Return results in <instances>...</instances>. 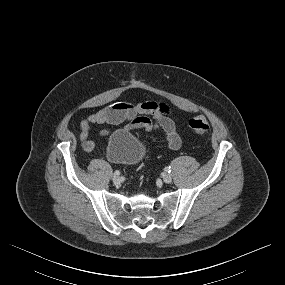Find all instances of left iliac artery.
Here are the masks:
<instances>
[{
    "mask_svg": "<svg viewBox=\"0 0 285 285\" xmlns=\"http://www.w3.org/2000/svg\"><path fill=\"white\" fill-rule=\"evenodd\" d=\"M164 171L167 172V173H170L171 172V167L170 166L169 167H165Z\"/></svg>",
    "mask_w": 285,
    "mask_h": 285,
    "instance_id": "44dca946",
    "label": "left iliac artery"
}]
</instances>
